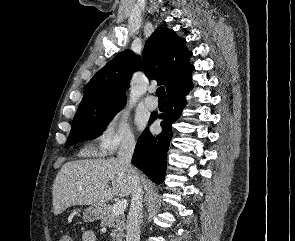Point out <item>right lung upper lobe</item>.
Returning a JSON list of instances; mask_svg holds the SVG:
<instances>
[{
	"label": "right lung upper lobe",
	"instance_id": "right-lung-upper-lobe-1",
	"mask_svg": "<svg viewBox=\"0 0 295 241\" xmlns=\"http://www.w3.org/2000/svg\"><path fill=\"white\" fill-rule=\"evenodd\" d=\"M186 41L166 27L157 28L146 41L140 57L129 49L119 53L89 81L79 108L113 101H126L125 90L135 70L142 66L147 77L164 84L167 93L191 83L194 67Z\"/></svg>",
	"mask_w": 295,
	"mask_h": 241
}]
</instances>
